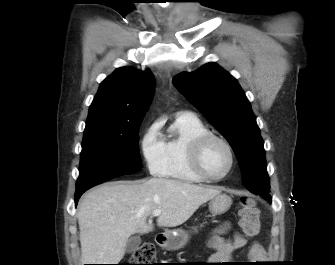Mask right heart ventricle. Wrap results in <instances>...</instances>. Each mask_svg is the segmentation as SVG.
<instances>
[{
  "mask_svg": "<svg viewBox=\"0 0 335 265\" xmlns=\"http://www.w3.org/2000/svg\"><path fill=\"white\" fill-rule=\"evenodd\" d=\"M171 132L164 139L166 166L163 176L186 183L203 182L191 167L189 152L197 137L209 133L208 128L195 116L177 115Z\"/></svg>",
  "mask_w": 335,
  "mask_h": 265,
  "instance_id": "right-heart-ventricle-1",
  "label": "right heart ventricle"
}]
</instances>
